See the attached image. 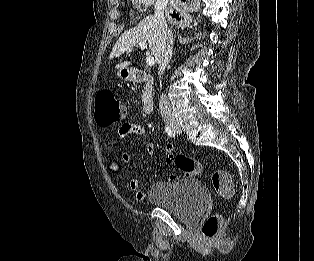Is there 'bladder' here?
Returning <instances> with one entry per match:
<instances>
[{
	"label": "bladder",
	"instance_id": "bladder-1",
	"mask_svg": "<svg viewBox=\"0 0 314 261\" xmlns=\"http://www.w3.org/2000/svg\"><path fill=\"white\" fill-rule=\"evenodd\" d=\"M147 199L187 222L196 220L208 207V191L200 180L155 182Z\"/></svg>",
	"mask_w": 314,
	"mask_h": 261
}]
</instances>
